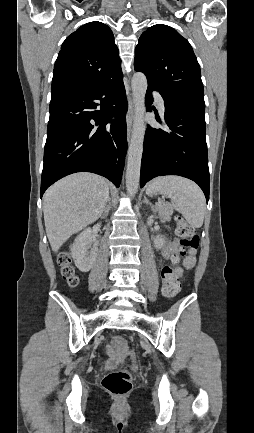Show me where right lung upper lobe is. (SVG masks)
I'll list each match as a JSON object with an SVG mask.
<instances>
[{
    "mask_svg": "<svg viewBox=\"0 0 254 433\" xmlns=\"http://www.w3.org/2000/svg\"><path fill=\"white\" fill-rule=\"evenodd\" d=\"M123 78L111 29L101 22L79 27L63 42L54 65L51 91L97 87Z\"/></svg>",
    "mask_w": 254,
    "mask_h": 433,
    "instance_id": "obj_1",
    "label": "right lung upper lobe"
}]
</instances>
